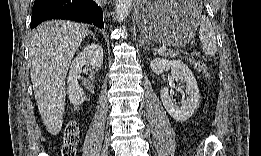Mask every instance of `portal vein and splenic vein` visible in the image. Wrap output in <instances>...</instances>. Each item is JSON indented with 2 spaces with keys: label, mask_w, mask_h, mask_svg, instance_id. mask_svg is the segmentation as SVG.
Returning <instances> with one entry per match:
<instances>
[{
  "label": "portal vein and splenic vein",
  "mask_w": 261,
  "mask_h": 156,
  "mask_svg": "<svg viewBox=\"0 0 261 156\" xmlns=\"http://www.w3.org/2000/svg\"><path fill=\"white\" fill-rule=\"evenodd\" d=\"M166 46H162L158 49V54L163 55L166 52Z\"/></svg>",
  "instance_id": "portal-vein-and-splenic-vein-1"
}]
</instances>
